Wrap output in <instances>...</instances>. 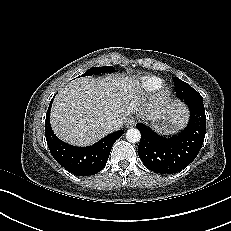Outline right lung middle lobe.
Returning <instances> with one entry per match:
<instances>
[{
    "label": "right lung middle lobe",
    "mask_w": 231,
    "mask_h": 231,
    "mask_svg": "<svg viewBox=\"0 0 231 231\" xmlns=\"http://www.w3.org/2000/svg\"><path fill=\"white\" fill-rule=\"evenodd\" d=\"M114 71H115V69L112 66L93 67V68H90L87 72H85L81 76H90L93 74H101V73L114 72Z\"/></svg>",
    "instance_id": "obj_1"
}]
</instances>
